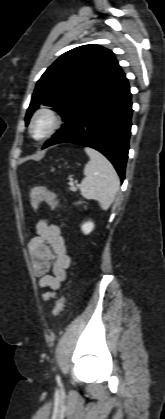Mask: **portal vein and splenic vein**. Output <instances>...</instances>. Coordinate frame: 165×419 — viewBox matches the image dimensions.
<instances>
[{"mask_svg": "<svg viewBox=\"0 0 165 419\" xmlns=\"http://www.w3.org/2000/svg\"><path fill=\"white\" fill-rule=\"evenodd\" d=\"M70 185H73V182H70Z\"/></svg>", "mask_w": 165, "mask_h": 419, "instance_id": "portal-vein-and-splenic-vein-1", "label": "portal vein and splenic vein"}]
</instances>
